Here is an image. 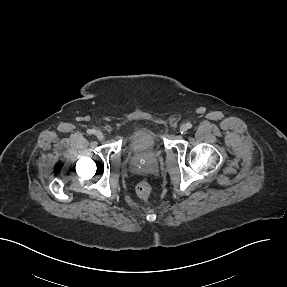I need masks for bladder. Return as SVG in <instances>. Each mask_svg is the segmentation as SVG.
I'll list each match as a JSON object with an SVG mask.
<instances>
[{
  "label": "bladder",
  "instance_id": "31cf9c89",
  "mask_svg": "<svg viewBox=\"0 0 287 287\" xmlns=\"http://www.w3.org/2000/svg\"><path fill=\"white\" fill-rule=\"evenodd\" d=\"M161 146V138L148 126L135 128L125 139V152L131 155H149Z\"/></svg>",
  "mask_w": 287,
  "mask_h": 287
}]
</instances>
